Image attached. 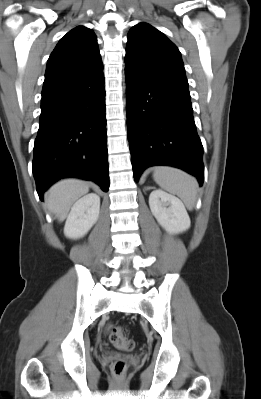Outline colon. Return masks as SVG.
I'll return each instance as SVG.
<instances>
[{"mask_svg": "<svg viewBox=\"0 0 261 399\" xmlns=\"http://www.w3.org/2000/svg\"><path fill=\"white\" fill-rule=\"evenodd\" d=\"M109 339L115 347L125 351H131L136 347L135 341L126 337L125 329L121 326L109 327ZM126 370L127 364L124 360H118L113 364L112 371L115 375H123Z\"/></svg>", "mask_w": 261, "mask_h": 399, "instance_id": "1", "label": "colon"}]
</instances>
